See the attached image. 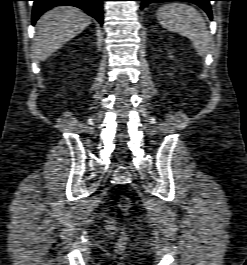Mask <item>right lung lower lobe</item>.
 <instances>
[{
    "label": "right lung lower lobe",
    "mask_w": 247,
    "mask_h": 265,
    "mask_svg": "<svg viewBox=\"0 0 247 265\" xmlns=\"http://www.w3.org/2000/svg\"><path fill=\"white\" fill-rule=\"evenodd\" d=\"M34 7L32 11V24L48 9L70 5L86 11L90 16L95 18L101 25L103 24L102 2L104 0H33Z\"/></svg>",
    "instance_id": "98d812e1"
}]
</instances>
